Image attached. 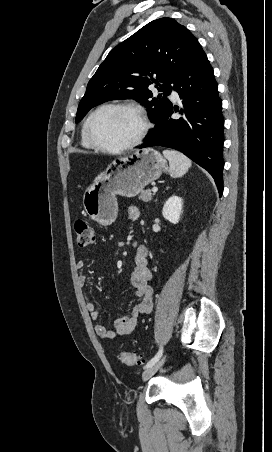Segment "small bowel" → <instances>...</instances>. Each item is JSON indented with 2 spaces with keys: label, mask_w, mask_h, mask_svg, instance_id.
Segmentation results:
<instances>
[{
  "label": "small bowel",
  "mask_w": 272,
  "mask_h": 452,
  "mask_svg": "<svg viewBox=\"0 0 272 452\" xmlns=\"http://www.w3.org/2000/svg\"><path fill=\"white\" fill-rule=\"evenodd\" d=\"M140 216V211L136 206H129L127 208V221L135 222ZM135 269L131 275V284L135 289V297L140 299L128 314L115 321V328L107 329L104 325L98 323L95 325L96 335L105 340H112L120 336L131 334L138 322L140 315L147 314L151 311L154 298V290L150 285L152 279V271L149 268L148 249L144 245H139L136 248L134 255ZM85 267L83 261L76 263V268L82 270ZM80 285L85 286L88 283V276L81 274L78 278ZM87 309L90 312L93 320H98L100 317L99 309L95 302L87 303Z\"/></svg>",
  "instance_id": "1"
}]
</instances>
